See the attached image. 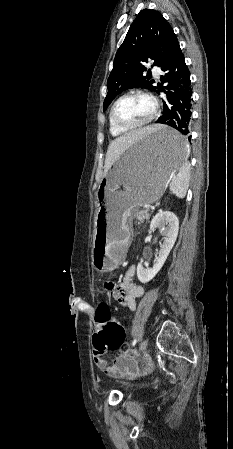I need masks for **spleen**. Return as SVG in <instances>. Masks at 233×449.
I'll return each mask as SVG.
<instances>
[{"label": "spleen", "mask_w": 233, "mask_h": 449, "mask_svg": "<svg viewBox=\"0 0 233 449\" xmlns=\"http://www.w3.org/2000/svg\"><path fill=\"white\" fill-rule=\"evenodd\" d=\"M190 165L185 161L179 168L178 174L170 183V191L178 198H184L189 187Z\"/></svg>", "instance_id": "1"}]
</instances>
